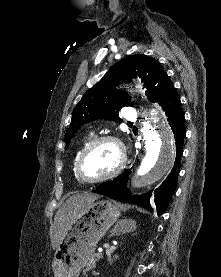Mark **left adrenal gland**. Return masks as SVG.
Listing matches in <instances>:
<instances>
[{"label": "left adrenal gland", "mask_w": 221, "mask_h": 277, "mask_svg": "<svg viewBox=\"0 0 221 277\" xmlns=\"http://www.w3.org/2000/svg\"><path fill=\"white\" fill-rule=\"evenodd\" d=\"M135 228H136V224L134 221L127 220V219L120 220L110 231L109 237L132 232L133 230H135Z\"/></svg>", "instance_id": "obj_1"}]
</instances>
